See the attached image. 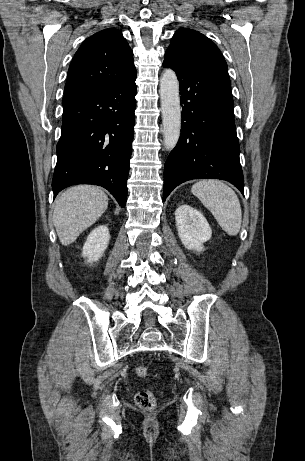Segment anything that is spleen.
<instances>
[{
  "instance_id": "1",
  "label": "spleen",
  "mask_w": 305,
  "mask_h": 461,
  "mask_svg": "<svg viewBox=\"0 0 305 461\" xmlns=\"http://www.w3.org/2000/svg\"><path fill=\"white\" fill-rule=\"evenodd\" d=\"M191 192L210 210L227 234H238L242 211L238 196L232 188L220 180H201L192 186Z\"/></svg>"
}]
</instances>
